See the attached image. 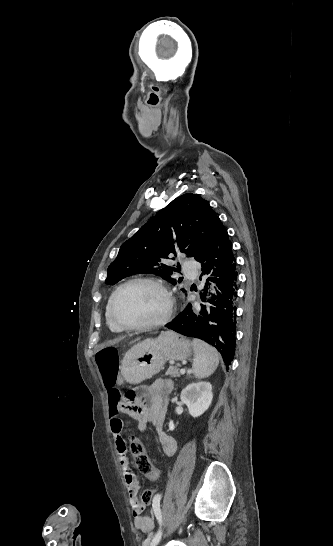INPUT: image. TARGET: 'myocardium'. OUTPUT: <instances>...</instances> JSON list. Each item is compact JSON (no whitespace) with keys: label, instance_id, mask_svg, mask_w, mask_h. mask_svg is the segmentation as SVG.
<instances>
[{"label":"myocardium","instance_id":"obj_1","mask_svg":"<svg viewBox=\"0 0 333 546\" xmlns=\"http://www.w3.org/2000/svg\"><path fill=\"white\" fill-rule=\"evenodd\" d=\"M134 283L151 284L158 287L163 292L167 301V306H166L165 312L160 318L147 322V323L137 324V325H126L121 323L118 320L115 314L116 298L122 289ZM174 308H175V301L167 285L162 280L155 277H149V276H137V277H133L124 281L114 290V292L110 296V301H109V315H110L111 321L121 331H145V330H151V329L161 327L170 321L174 312Z\"/></svg>","mask_w":333,"mask_h":546}]
</instances>
